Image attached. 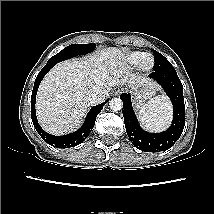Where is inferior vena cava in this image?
<instances>
[{
    "label": "inferior vena cava",
    "instance_id": "obj_1",
    "mask_svg": "<svg viewBox=\"0 0 214 214\" xmlns=\"http://www.w3.org/2000/svg\"><path fill=\"white\" fill-rule=\"evenodd\" d=\"M108 96V91L102 88H92L87 94L86 98L90 104H97L106 99Z\"/></svg>",
    "mask_w": 214,
    "mask_h": 214
}]
</instances>
